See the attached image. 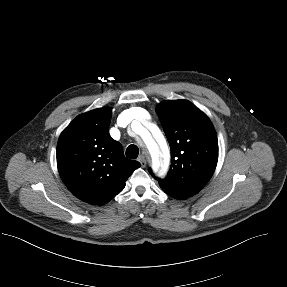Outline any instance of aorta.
<instances>
[{
	"mask_svg": "<svg viewBox=\"0 0 287 287\" xmlns=\"http://www.w3.org/2000/svg\"><path fill=\"white\" fill-rule=\"evenodd\" d=\"M157 133H158L157 134L158 138L161 139L162 138L161 134L159 132ZM147 148L151 155L153 171L155 172L160 171L161 174L164 175L167 172L169 158H170L168 148L166 146H163L162 148H160L159 145L155 141H150L147 144Z\"/></svg>",
	"mask_w": 287,
	"mask_h": 287,
	"instance_id": "762f6f07",
	"label": "aorta"
}]
</instances>
